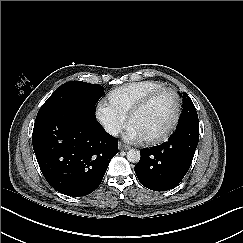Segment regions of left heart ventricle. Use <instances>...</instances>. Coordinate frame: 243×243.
Wrapping results in <instances>:
<instances>
[{
    "instance_id": "obj_1",
    "label": "left heart ventricle",
    "mask_w": 243,
    "mask_h": 243,
    "mask_svg": "<svg viewBox=\"0 0 243 243\" xmlns=\"http://www.w3.org/2000/svg\"><path fill=\"white\" fill-rule=\"evenodd\" d=\"M175 106L172 94H164L151 101L136 120L137 126L148 136L160 133L170 121Z\"/></svg>"
}]
</instances>
